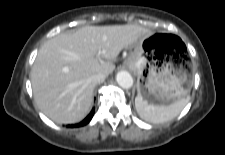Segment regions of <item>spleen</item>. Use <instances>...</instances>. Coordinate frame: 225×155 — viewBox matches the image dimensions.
<instances>
[{
    "label": "spleen",
    "instance_id": "3e777b00",
    "mask_svg": "<svg viewBox=\"0 0 225 155\" xmlns=\"http://www.w3.org/2000/svg\"><path fill=\"white\" fill-rule=\"evenodd\" d=\"M188 101L189 97H186L169 105H153L137 96L135 107L142 119L152 123H164L174 119L184 109Z\"/></svg>",
    "mask_w": 225,
    "mask_h": 155
}]
</instances>
